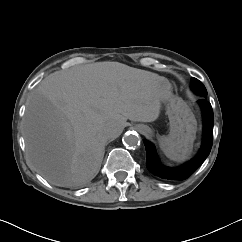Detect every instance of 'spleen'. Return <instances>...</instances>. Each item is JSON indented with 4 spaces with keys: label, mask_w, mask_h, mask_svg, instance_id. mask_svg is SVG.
I'll use <instances>...</instances> for the list:
<instances>
[{
    "label": "spleen",
    "mask_w": 242,
    "mask_h": 242,
    "mask_svg": "<svg viewBox=\"0 0 242 242\" xmlns=\"http://www.w3.org/2000/svg\"><path fill=\"white\" fill-rule=\"evenodd\" d=\"M166 156L169 157L170 159L172 160H175V161H181L183 159H185L186 157L174 152L173 150L171 149H163Z\"/></svg>",
    "instance_id": "spleen-1"
}]
</instances>
